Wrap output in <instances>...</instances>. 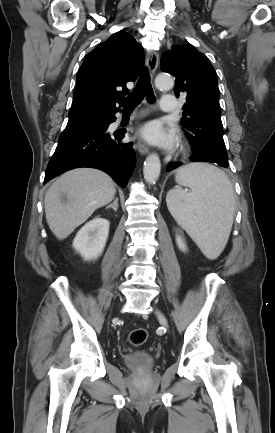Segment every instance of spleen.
<instances>
[{
	"mask_svg": "<svg viewBox=\"0 0 275 433\" xmlns=\"http://www.w3.org/2000/svg\"><path fill=\"white\" fill-rule=\"evenodd\" d=\"M175 180L191 192L170 190L166 197L170 213L202 253L216 259L233 225L235 198L229 178L215 166L192 163L178 169Z\"/></svg>",
	"mask_w": 275,
	"mask_h": 433,
	"instance_id": "1",
	"label": "spleen"
}]
</instances>
